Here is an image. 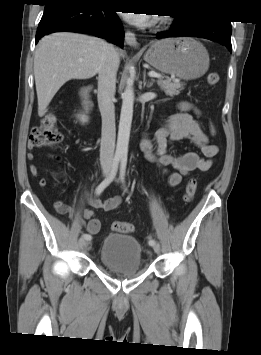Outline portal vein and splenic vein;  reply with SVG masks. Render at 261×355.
Returning <instances> with one entry per match:
<instances>
[{"label":"portal vein and splenic vein","instance_id":"obj_1","mask_svg":"<svg viewBox=\"0 0 261 355\" xmlns=\"http://www.w3.org/2000/svg\"><path fill=\"white\" fill-rule=\"evenodd\" d=\"M148 75H149L150 77H157V78H160V77H161L159 74H157V73L154 72V71L149 72Z\"/></svg>","mask_w":261,"mask_h":355}]
</instances>
